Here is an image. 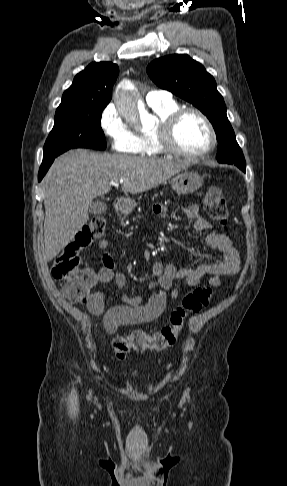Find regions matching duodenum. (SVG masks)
Masks as SVG:
<instances>
[{"mask_svg": "<svg viewBox=\"0 0 287 486\" xmlns=\"http://www.w3.org/2000/svg\"><path fill=\"white\" fill-rule=\"evenodd\" d=\"M114 206H115V208H116L117 210H120V209H122V207H123V202H122L121 200H116V201L114 202Z\"/></svg>", "mask_w": 287, "mask_h": 486, "instance_id": "1", "label": "duodenum"}]
</instances>
